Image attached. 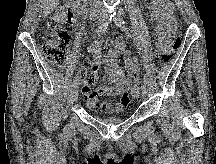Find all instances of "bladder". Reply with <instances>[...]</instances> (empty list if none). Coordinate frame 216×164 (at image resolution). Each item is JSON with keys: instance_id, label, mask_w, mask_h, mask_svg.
Wrapping results in <instances>:
<instances>
[{"instance_id": "bladder-1", "label": "bladder", "mask_w": 216, "mask_h": 164, "mask_svg": "<svg viewBox=\"0 0 216 164\" xmlns=\"http://www.w3.org/2000/svg\"><path fill=\"white\" fill-rule=\"evenodd\" d=\"M100 121L105 123V124H115V123L121 122L122 119L110 117V118H100Z\"/></svg>"}]
</instances>
